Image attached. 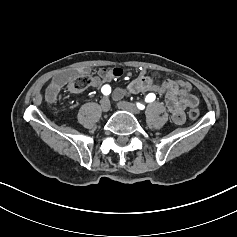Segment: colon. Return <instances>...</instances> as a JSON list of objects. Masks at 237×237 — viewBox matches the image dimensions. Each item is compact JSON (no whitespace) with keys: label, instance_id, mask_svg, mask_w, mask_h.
<instances>
[{"label":"colon","instance_id":"colon-1","mask_svg":"<svg viewBox=\"0 0 237 237\" xmlns=\"http://www.w3.org/2000/svg\"><path fill=\"white\" fill-rule=\"evenodd\" d=\"M91 78L88 75H80L75 77L68 84V91L71 93H79L90 86ZM189 116L191 119H197L199 117V110L193 107L189 111Z\"/></svg>","mask_w":237,"mask_h":237}]
</instances>
